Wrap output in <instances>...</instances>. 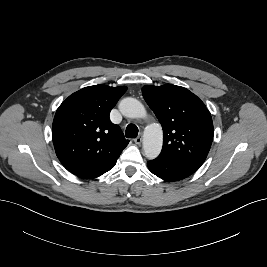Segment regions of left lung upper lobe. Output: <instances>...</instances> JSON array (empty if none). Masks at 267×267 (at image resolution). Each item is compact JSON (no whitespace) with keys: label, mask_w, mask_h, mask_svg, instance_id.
<instances>
[{"label":"left lung upper lobe","mask_w":267,"mask_h":267,"mask_svg":"<svg viewBox=\"0 0 267 267\" xmlns=\"http://www.w3.org/2000/svg\"><path fill=\"white\" fill-rule=\"evenodd\" d=\"M142 94L163 128L159 160L200 167L213 141V122L204 103L188 89L147 85Z\"/></svg>","instance_id":"1"}]
</instances>
